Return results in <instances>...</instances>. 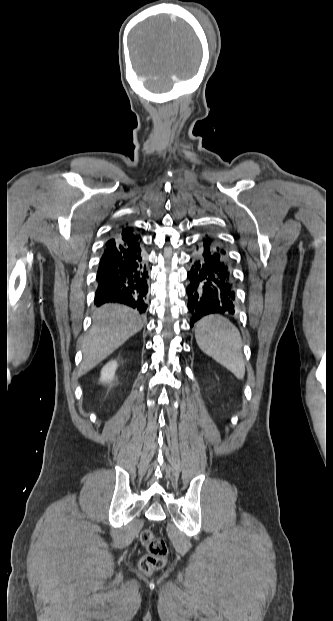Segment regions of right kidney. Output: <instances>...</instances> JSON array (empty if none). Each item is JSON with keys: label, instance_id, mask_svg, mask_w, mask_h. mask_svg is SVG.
Instances as JSON below:
<instances>
[{"label": "right kidney", "instance_id": "right-kidney-1", "mask_svg": "<svg viewBox=\"0 0 333 621\" xmlns=\"http://www.w3.org/2000/svg\"><path fill=\"white\" fill-rule=\"evenodd\" d=\"M117 366L118 364L116 360H112L109 363H107L101 370V377H100L101 382L110 383L111 381H113Z\"/></svg>", "mask_w": 333, "mask_h": 621}]
</instances>
